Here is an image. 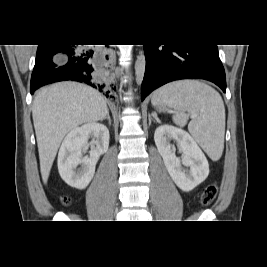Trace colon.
<instances>
[{"label": "colon", "mask_w": 267, "mask_h": 267, "mask_svg": "<svg viewBox=\"0 0 267 267\" xmlns=\"http://www.w3.org/2000/svg\"><path fill=\"white\" fill-rule=\"evenodd\" d=\"M217 192L218 188L216 184L208 185L201 196V203L204 206L210 205L216 198ZM61 201L63 204L68 205L71 202V199L69 196L64 195L62 196Z\"/></svg>", "instance_id": "colon-1"}]
</instances>
